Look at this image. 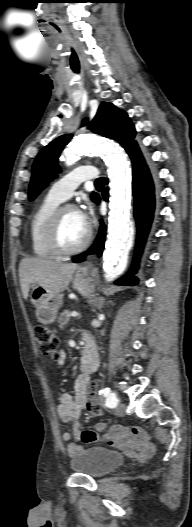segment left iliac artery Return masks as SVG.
<instances>
[{"instance_id":"1","label":"left iliac artery","mask_w":192,"mask_h":527,"mask_svg":"<svg viewBox=\"0 0 192 527\" xmlns=\"http://www.w3.org/2000/svg\"><path fill=\"white\" fill-rule=\"evenodd\" d=\"M101 395L105 398V406L109 408H114L118 404V398L116 394L111 391L109 387H105L100 391Z\"/></svg>"}]
</instances>
